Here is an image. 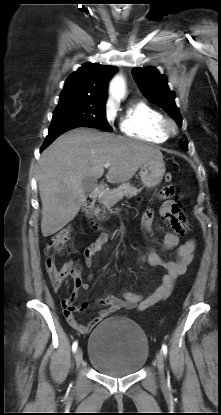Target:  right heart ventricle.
Returning <instances> with one entry per match:
<instances>
[{
  "label": "right heart ventricle",
  "instance_id": "right-heart-ventricle-1",
  "mask_svg": "<svg viewBox=\"0 0 221 415\" xmlns=\"http://www.w3.org/2000/svg\"><path fill=\"white\" fill-rule=\"evenodd\" d=\"M163 114L143 101L133 102L120 119L123 135L148 143H163L168 139L161 129Z\"/></svg>",
  "mask_w": 221,
  "mask_h": 415
}]
</instances>
